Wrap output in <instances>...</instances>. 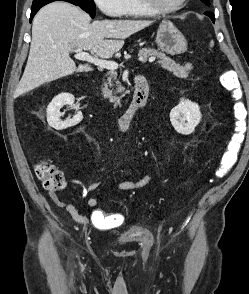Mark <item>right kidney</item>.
Instances as JSON below:
<instances>
[{
    "mask_svg": "<svg viewBox=\"0 0 249 294\" xmlns=\"http://www.w3.org/2000/svg\"><path fill=\"white\" fill-rule=\"evenodd\" d=\"M63 105L74 107V96L69 93H61L54 97L47 107V122L52 128L56 130H64L66 128L75 126L83 119L82 112L78 111L73 118L62 121L60 119V108Z\"/></svg>",
    "mask_w": 249,
    "mask_h": 294,
    "instance_id": "1",
    "label": "right kidney"
}]
</instances>
